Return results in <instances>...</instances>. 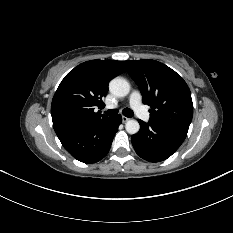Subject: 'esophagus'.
Listing matches in <instances>:
<instances>
[{"label": "esophagus", "instance_id": "34e87169", "mask_svg": "<svg viewBox=\"0 0 233 233\" xmlns=\"http://www.w3.org/2000/svg\"><path fill=\"white\" fill-rule=\"evenodd\" d=\"M128 120H129V118H128V117H126V116H122V122H123V123L127 122Z\"/></svg>", "mask_w": 233, "mask_h": 233}]
</instances>
